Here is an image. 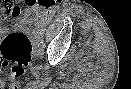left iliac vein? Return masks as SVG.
Masks as SVG:
<instances>
[{"instance_id": "4c4485c4", "label": "left iliac vein", "mask_w": 131, "mask_h": 89, "mask_svg": "<svg viewBox=\"0 0 131 89\" xmlns=\"http://www.w3.org/2000/svg\"><path fill=\"white\" fill-rule=\"evenodd\" d=\"M38 51H39V53H41L42 49H41V48H39V50H38Z\"/></svg>"}]
</instances>
